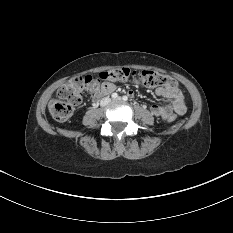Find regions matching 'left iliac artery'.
<instances>
[{
    "label": "left iliac artery",
    "mask_w": 233,
    "mask_h": 233,
    "mask_svg": "<svg viewBox=\"0 0 233 233\" xmlns=\"http://www.w3.org/2000/svg\"><path fill=\"white\" fill-rule=\"evenodd\" d=\"M123 100H124V101H127V100H128V97H127V96H123Z\"/></svg>",
    "instance_id": "1"
}]
</instances>
